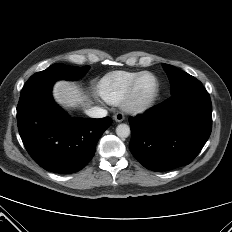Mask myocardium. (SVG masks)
I'll use <instances>...</instances> for the list:
<instances>
[{
  "instance_id": "myocardium-1",
  "label": "myocardium",
  "mask_w": 232,
  "mask_h": 232,
  "mask_svg": "<svg viewBox=\"0 0 232 232\" xmlns=\"http://www.w3.org/2000/svg\"><path fill=\"white\" fill-rule=\"evenodd\" d=\"M144 76H150L152 78L154 82V88L151 94L147 98L140 100L137 99L136 97V90L140 80ZM158 94H159V82L157 77L150 72H146V71L141 72L132 82L129 90L127 91L121 103V106L128 113H141L147 110L155 102Z\"/></svg>"
}]
</instances>
